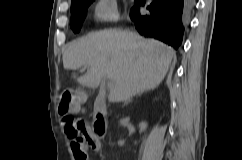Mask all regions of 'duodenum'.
Wrapping results in <instances>:
<instances>
[{"mask_svg":"<svg viewBox=\"0 0 242 160\" xmlns=\"http://www.w3.org/2000/svg\"><path fill=\"white\" fill-rule=\"evenodd\" d=\"M107 107L102 97L94 100L93 121L91 133L97 141H100L107 133Z\"/></svg>","mask_w":242,"mask_h":160,"instance_id":"1","label":"duodenum"}]
</instances>
